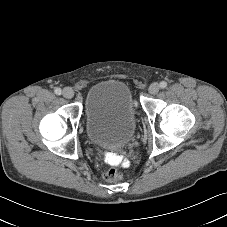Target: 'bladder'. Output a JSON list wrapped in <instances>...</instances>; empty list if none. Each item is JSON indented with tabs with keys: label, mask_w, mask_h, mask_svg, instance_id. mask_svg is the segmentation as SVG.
<instances>
[{
	"label": "bladder",
	"mask_w": 227,
	"mask_h": 227,
	"mask_svg": "<svg viewBox=\"0 0 227 227\" xmlns=\"http://www.w3.org/2000/svg\"><path fill=\"white\" fill-rule=\"evenodd\" d=\"M86 135L95 145L120 149L134 139L136 106L129 87L119 81H104L92 87L85 100Z\"/></svg>",
	"instance_id": "obj_1"
}]
</instances>
